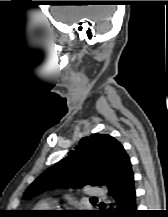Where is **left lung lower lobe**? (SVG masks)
<instances>
[{"mask_svg":"<svg viewBox=\"0 0 168 217\" xmlns=\"http://www.w3.org/2000/svg\"><path fill=\"white\" fill-rule=\"evenodd\" d=\"M109 195L114 198L118 210L110 211L106 214L115 217H135L136 191L131 165L128 166V174L124 182L120 186L110 190Z\"/></svg>","mask_w":168,"mask_h":217,"instance_id":"obj_1","label":"left lung lower lobe"}]
</instances>
